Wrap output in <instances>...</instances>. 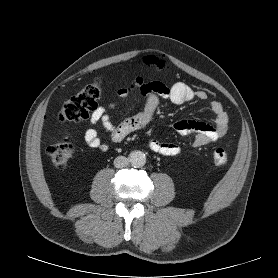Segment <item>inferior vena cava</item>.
<instances>
[{"label": "inferior vena cava", "instance_id": "inferior-vena-cava-1", "mask_svg": "<svg viewBox=\"0 0 278 278\" xmlns=\"http://www.w3.org/2000/svg\"><path fill=\"white\" fill-rule=\"evenodd\" d=\"M128 165V159L125 156H118L114 159V166L116 168H123Z\"/></svg>", "mask_w": 278, "mask_h": 278}]
</instances>
